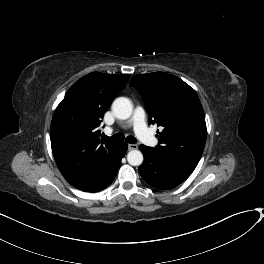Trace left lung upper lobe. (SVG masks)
<instances>
[{
    "label": "left lung upper lobe",
    "instance_id": "5c2ea615",
    "mask_svg": "<svg viewBox=\"0 0 264 264\" xmlns=\"http://www.w3.org/2000/svg\"><path fill=\"white\" fill-rule=\"evenodd\" d=\"M130 86L140 92L149 123L157 131L159 145L154 149L165 158L197 165L206 142V123L197 93L177 76L155 72L135 75Z\"/></svg>",
    "mask_w": 264,
    "mask_h": 264
}]
</instances>
